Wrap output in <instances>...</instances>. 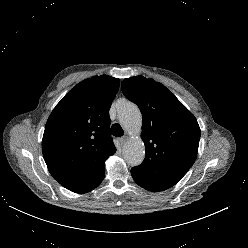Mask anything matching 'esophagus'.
Segmentation results:
<instances>
[{
  "instance_id": "1",
  "label": "esophagus",
  "mask_w": 248,
  "mask_h": 248,
  "mask_svg": "<svg viewBox=\"0 0 248 248\" xmlns=\"http://www.w3.org/2000/svg\"><path fill=\"white\" fill-rule=\"evenodd\" d=\"M127 140H128L127 136H123V137L119 138V142H120L121 146H123Z\"/></svg>"
}]
</instances>
